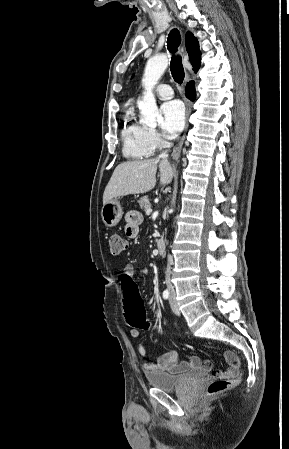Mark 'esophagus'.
<instances>
[{
    "instance_id": "esophagus-1",
    "label": "esophagus",
    "mask_w": 289,
    "mask_h": 449,
    "mask_svg": "<svg viewBox=\"0 0 289 449\" xmlns=\"http://www.w3.org/2000/svg\"><path fill=\"white\" fill-rule=\"evenodd\" d=\"M181 51L184 52V49L182 48ZM185 103H186V127L185 128L187 130V128H188V119H189V116H190V113H191V102L188 99H186ZM184 140H185V135H183L181 141L176 146V148L173 150L172 158L174 160L179 158L180 153H181V149H182V146H183V143H184Z\"/></svg>"
}]
</instances>
